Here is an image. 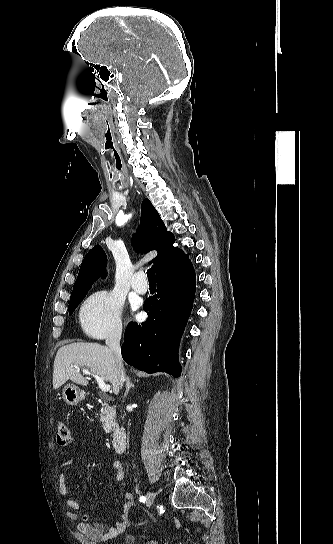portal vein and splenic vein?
Returning a JSON list of instances; mask_svg holds the SVG:
<instances>
[{
  "mask_svg": "<svg viewBox=\"0 0 333 544\" xmlns=\"http://www.w3.org/2000/svg\"><path fill=\"white\" fill-rule=\"evenodd\" d=\"M74 367H75L77 370H79V367H78L77 365H74ZM82 371H83L84 374L92 375V376L96 379V381H97V383H98L100 389H101L103 392H109V391H110V385H109V384H105L104 379H103L102 377H100V376H98V375H96V374L91 373L88 369H83Z\"/></svg>",
  "mask_w": 333,
  "mask_h": 544,
  "instance_id": "18ae733b",
  "label": "portal vein and splenic vein"
}]
</instances>
